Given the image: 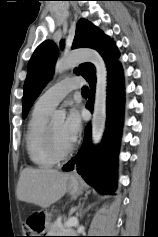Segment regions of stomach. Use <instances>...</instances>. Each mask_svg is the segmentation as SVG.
<instances>
[{"label": "stomach", "instance_id": "0dacf381", "mask_svg": "<svg viewBox=\"0 0 158 237\" xmlns=\"http://www.w3.org/2000/svg\"><path fill=\"white\" fill-rule=\"evenodd\" d=\"M67 190H68V193L71 196V198L75 199L82 193L83 187L77 179L70 178V180L68 182ZM35 233H41V231L35 232Z\"/></svg>", "mask_w": 158, "mask_h": 237}]
</instances>
